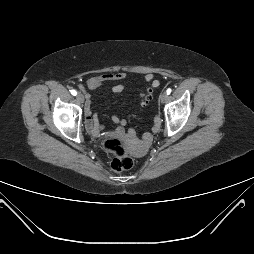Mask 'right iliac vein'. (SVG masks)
I'll list each match as a JSON object with an SVG mask.
<instances>
[{"mask_svg":"<svg viewBox=\"0 0 254 254\" xmlns=\"http://www.w3.org/2000/svg\"><path fill=\"white\" fill-rule=\"evenodd\" d=\"M77 100H78L80 103H83V102H84V96H83V94L79 93V94L77 95Z\"/></svg>","mask_w":254,"mask_h":254,"instance_id":"63e3f726","label":"right iliac vein"}]
</instances>
